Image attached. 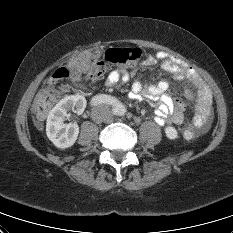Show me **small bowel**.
Here are the masks:
<instances>
[{
    "label": "small bowel",
    "mask_w": 233,
    "mask_h": 233,
    "mask_svg": "<svg viewBox=\"0 0 233 233\" xmlns=\"http://www.w3.org/2000/svg\"><path fill=\"white\" fill-rule=\"evenodd\" d=\"M78 71L83 72L87 69L89 59L86 56H79L75 60ZM161 64L162 68L169 72L173 78L177 80H186L194 88V91L188 89L186 96L189 99L196 100V106L192 117V124L195 128L204 132L208 127V121L211 115L212 95L205 84L199 77L195 70L180 64L170 58V56L163 51L149 55L143 65L152 67L156 64ZM130 75L126 69L120 68L111 71L106 78V85L118 86L128 83ZM80 77L78 74L73 76V82L79 83ZM169 82L162 80L157 84L144 85L139 80H135L132 89L131 97L139 98L146 97L155 104L154 120L161 126H168L171 124H180L184 119L185 104L180 99L173 98L169 92Z\"/></svg>",
    "instance_id": "small-bowel-1"
}]
</instances>
